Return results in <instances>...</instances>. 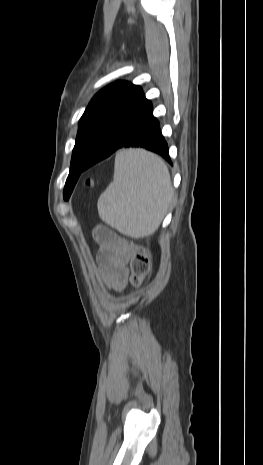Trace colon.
Segmentation results:
<instances>
[{"label": "colon", "mask_w": 263, "mask_h": 465, "mask_svg": "<svg viewBox=\"0 0 263 465\" xmlns=\"http://www.w3.org/2000/svg\"><path fill=\"white\" fill-rule=\"evenodd\" d=\"M92 181L88 180L87 185ZM130 283L134 287H140L150 273V259L146 248L142 245H134L131 248Z\"/></svg>", "instance_id": "5ec220e1"}]
</instances>
